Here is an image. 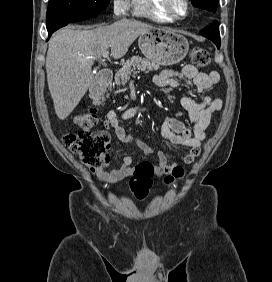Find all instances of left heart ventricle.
I'll return each instance as SVG.
<instances>
[{"label": "left heart ventricle", "instance_id": "1", "mask_svg": "<svg viewBox=\"0 0 272 282\" xmlns=\"http://www.w3.org/2000/svg\"><path fill=\"white\" fill-rule=\"evenodd\" d=\"M174 8H175V10H176L178 13H182L183 10H184V6H183V4H182L181 2H176V3L174 4Z\"/></svg>", "mask_w": 272, "mask_h": 282}]
</instances>
